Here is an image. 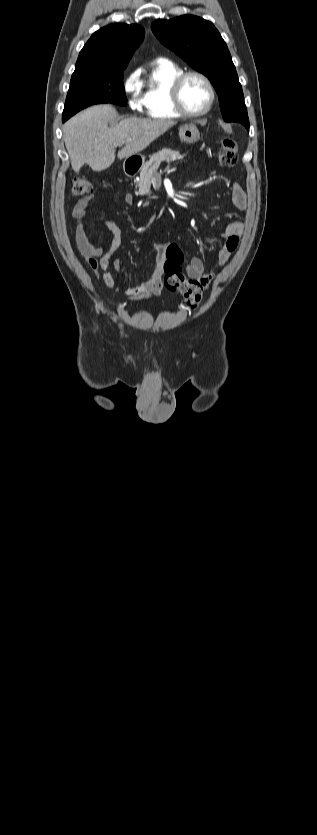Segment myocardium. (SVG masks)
<instances>
[{"mask_svg":"<svg viewBox=\"0 0 317 835\" xmlns=\"http://www.w3.org/2000/svg\"><path fill=\"white\" fill-rule=\"evenodd\" d=\"M189 77H198L201 80H203L205 82V84L207 85V87L209 89V92H210V99H209V102H208L207 106L203 110L198 111V112L189 111L184 106L183 101H182V89H183V86H184L186 80ZM170 94H171V99H172V102H173V105H174L175 109L182 116L189 117V118H196V117H201V116L206 115L212 109V107L214 105V102H215V99H216V90H215V87H214L211 79L207 75H205L204 73L199 72V71H195V70L184 71L180 75H178L174 79V81L171 85Z\"/></svg>","mask_w":317,"mask_h":835,"instance_id":"obj_1","label":"myocardium"}]
</instances>
